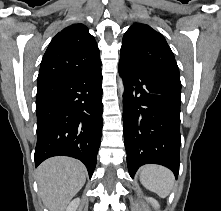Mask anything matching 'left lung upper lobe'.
Listing matches in <instances>:
<instances>
[{"label":"left lung upper lobe","instance_id":"left-lung-upper-lobe-1","mask_svg":"<svg viewBox=\"0 0 221 211\" xmlns=\"http://www.w3.org/2000/svg\"><path fill=\"white\" fill-rule=\"evenodd\" d=\"M120 60L146 73L179 83V68L165 38L146 24L136 23L125 33Z\"/></svg>","mask_w":221,"mask_h":211}]
</instances>
